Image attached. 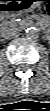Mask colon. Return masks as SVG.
Segmentation results:
<instances>
[{
	"label": "colon",
	"instance_id": "5ec220e1",
	"mask_svg": "<svg viewBox=\"0 0 50 111\" xmlns=\"http://www.w3.org/2000/svg\"><path fill=\"white\" fill-rule=\"evenodd\" d=\"M45 10H46L47 13H49L50 12V6L46 5Z\"/></svg>",
	"mask_w": 50,
	"mask_h": 111
}]
</instances>
